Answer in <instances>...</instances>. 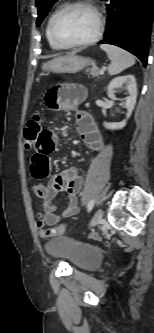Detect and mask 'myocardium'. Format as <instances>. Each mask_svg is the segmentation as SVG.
<instances>
[{
    "instance_id": "1",
    "label": "myocardium",
    "mask_w": 154,
    "mask_h": 333,
    "mask_svg": "<svg viewBox=\"0 0 154 333\" xmlns=\"http://www.w3.org/2000/svg\"><path fill=\"white\" fill-rule=\"evenodd\" d=\"M76 7H84V8H88V9L92 10L96 15L97 28H96L94 35L87 40H84L81 42H76V43H66L60 39V37L58 36V34L56 32L57 22L65 12H67L68 10H70L72 8H76ZM103 31H104V19H103L102 13L94 4L87 2V1H72V2L65 4L54 14V16L51 20V24H50V33H51L53 40L55 41V43L58 46H60L63 49L80 48V47H86V46L92 45L100 39Z\"/></svg>"
}]
</instances>
